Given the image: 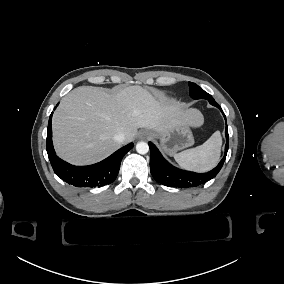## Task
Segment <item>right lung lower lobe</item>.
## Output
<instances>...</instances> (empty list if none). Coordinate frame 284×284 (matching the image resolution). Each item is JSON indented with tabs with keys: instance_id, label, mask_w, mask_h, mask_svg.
<instances>
[{
	"instance_id": "98d812e1",
	"label": "right lung lower lobe",
	"mask_w": 284,
	"mask_h": 284,
	"mask_svg": "<svg viewBox=\"0 0 284 284\" xmlns=\"http://www.w3.org/2000/svg\"><path fill=\"white\" fill-rule=\"evenodd\" d=\"M52 114L47 129V153L55 174L63 181L76 187H101L112 183L119 172L123 156L133 148L130 143L114 152L103 161L89 166H74L60 159L52 143Z\"/></svg>"
}]
</instances>
